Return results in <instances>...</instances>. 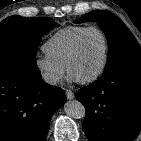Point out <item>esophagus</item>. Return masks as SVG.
Segmentation results:
<instances>
[{
  "label": "esophagus",
  "mask_w": 141,
  "mask_h": 141,
  "mask_svg": "<svg viewBox=\"0 0 141 141\" xmlns=\"http://www.w3.org/2000/svg\"><path fill=\"white\" fill-rule=\"evenodd\" d=\"M65 94H66L67 99L69 100H72L75 97L74 93L71 90H66Z\"/></svg>",
  "instance_id": "34e87169"
}]
</instances>
